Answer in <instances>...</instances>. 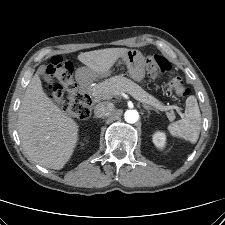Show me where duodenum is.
Wrapping results in <instances>:
<instances>
[{"label": "duodenum", "mask_w": 225, "mask_h": 225, "mask_svg": "<svg viewBox=\"0 0 225 225\" xmlns=\"http://www.w3.org/2000/svg\"><path fill=\"white\" fill-rule=\"evenodd\" d=\"M78 83H79V87H80L82 93L86 96V98L88 99V101L92 105L93 104V100H92V97H91V95L89 93V91H90V84H88L84 80H79Z\"/></svg>", "instance_id": "obj_1"}]
</instances>
